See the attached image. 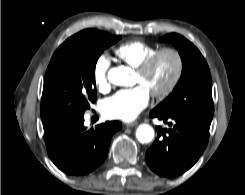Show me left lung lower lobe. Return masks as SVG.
Instances as JSON below:
<instances>
[{"label":"left lung lower lobe","instance_id":"1","mask_svg":"<svg viewBox=\"0 0 245 195\" xmlns=\"http://www.w3.org/2000/svg\"><path fill=\"white\" fill-rule=\"evenodd\" d=\"M151 118L168 122L157 127V138L146 152L149 167L163 177H174L190 169L205 150L213 115L152 110Z\"/></svg>","mask_w":245,"mask_h":195}]
</instances>
